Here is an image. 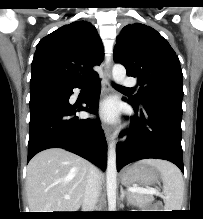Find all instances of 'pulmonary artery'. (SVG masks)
Instances as JSON below:
<instances>
[{"label": "pulmonary artery", "mask_w": 203, "mask_h": 219, "mask_svg": "<svg viewBox=\"0 0 203 219\" xmlns=\"http://www.w3.org/2000/svg\"><path fill=\"white\" fill-rule=\"evenodd\" d=\"M123 84L125 87L134 88L137 86V81L134 78L127 77L124 79Z\"/></svg>", "instance_id": "pulmonary-artery-1"}]
</instances>
